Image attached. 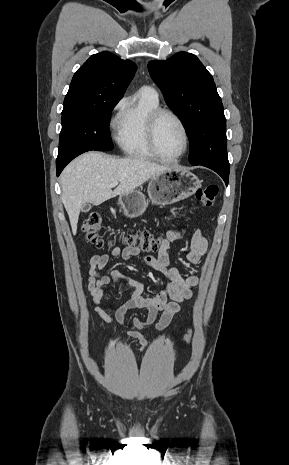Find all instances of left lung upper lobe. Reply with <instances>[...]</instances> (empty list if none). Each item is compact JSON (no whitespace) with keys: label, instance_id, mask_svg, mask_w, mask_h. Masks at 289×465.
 I'll return each instance as SVG.
<instances>
[{"label":"left lung upper lobe","instance_id":"1","mask_svg":"<svg viewBox=\"0 0 289 465\" xmlns=\"http://www.w3.org/2000/svg\"><path fill=\"white\" fill-rule=\"evenodd\" d=\"M148 69L184 125L191 145L190 163L230 167L222 101L212 75L199 59L179 52L167 60L149 62Z\"/></svg>","mask_w":289,"mask_h":465}]
</instances>
